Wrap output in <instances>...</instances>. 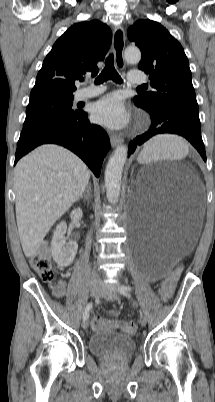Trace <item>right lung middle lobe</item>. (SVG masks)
Masks as SVG:
<instances>
[{
  "label": "right lung middle lobe",
  "mask_w": 215,
  "mask_h": 402,
  "mask_svg": "<svg viewBox=\"0 0 215 402\" xmlns=\"http://www.w3.org/2000/svg\"><path fill=\"white\" fill-rule=\"evenodd\" d=\"M73 96L51 95L30 99L26 119L18 142L53 125L62 123L79 114L72 109Z\"/></svg>",
  "instance_id": "obj_1"
}]
</instances>
